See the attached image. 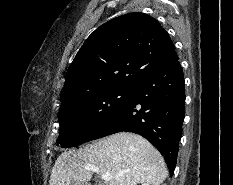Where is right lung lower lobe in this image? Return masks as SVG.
<instances>
[{"label":"right lung lower lobe","instance_id":"obj_1","mask_svg":"<svg viewBox=\"0 0 233 185\" xmlns=\"http://www.w3.org/2000/svg\"><path fill=\"white\" fill-rule=\"evenodd\" d=\"M184 105V75L177 59L131 85L126 100L87 141L120 131L138 133L161 152L172 175L182 136Z\"/></svg>","mask_w":233,"mask_h":185}]
</instances>
